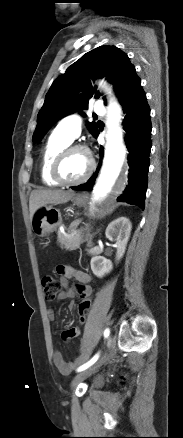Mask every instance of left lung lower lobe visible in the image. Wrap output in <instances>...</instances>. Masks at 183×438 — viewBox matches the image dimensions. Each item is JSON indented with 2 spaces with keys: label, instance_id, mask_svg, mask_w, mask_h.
<instances>
[{
  "label": "left lung lower lobe",
  "instance_id": "1",
  "mask_svg": "<svg viewBox=\"0 0 183 438\" xmlns=\"http://www.w3.org/2000/svg\"><path fill=\"white\" fill-rule=\"evenodd\" d=\"M123 106L125 119L123 128L126 131L125 142L129 151L128 164L130 167L128 185L118 201H125L144 209L147 189V173L149 169V154L151 150V121L150 108L146 94L141 87V80L137 76L127 86L119 97ZM99 131L96 133L97 137ZM103 149L101 148V158ZM98 170L86 183L72 187L78 191H91Z\"/></svg>",
  "mask_w": 183,
  "mask_h": 438
}]
</instances>
